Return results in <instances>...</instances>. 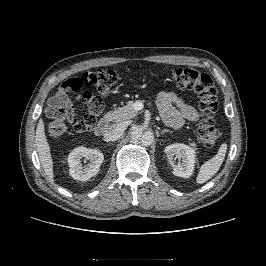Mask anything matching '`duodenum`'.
<instances>
[{
  "label": "duodenum",
  "mask_w": 266,
  "mask_h": 266,
  "mask_svg": "<svg viewBox=\"0 0 266 266\" xmlns=\"http://www.w3.org/2000/svg\"><path fill=\"white\" fill-rule=\"evenodd\" d=\"M108 128V120L103 119L94 126V133L96 136H102Z\"/></svg>",
  "instance_id": "obj_1"
}]
</instances>
